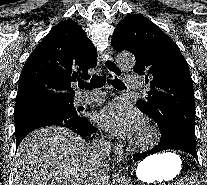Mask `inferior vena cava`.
<instances>
[{
    "instance_id": "inferior-vena-cava-1",
    "label": "inferior vena cava",
    "mask_w": 207,
    "mask_h": 185,
    "mask_svg": "<svg viewBox=\"0 0 207 185\" xmlns=\"http://www.w3.org/2000/svg\"><path fill=\"white\" fill-rule=\"evenodd\" d=\"M90 149H94V153H95L96 147H90ZM95 181H96L95 185H98V183H99V177H96Z\"/></svg>"
}]
</instances>
